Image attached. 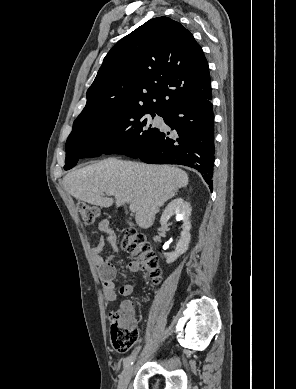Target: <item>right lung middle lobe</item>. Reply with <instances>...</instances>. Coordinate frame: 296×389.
Segmentation results:
<instances>
[{
  "label": "right lung middle lobe",
  "mask_w": 296,
  "mask_h": 389,
  "mask_svg": "<svg viewBox=\"0 0 296 389\" xmlns=\"http://www.w3.org/2000/svg\"><path fill=\"white\" fill-rule=\"evenodd\" d=\"M147 114H163L136 107L101 110L79 117L66 141L64 169L76 165L78 159L105 154L132 156L144 150L158 131L147 119Z\"/></svg>",
  "instance_id": "dd1d6c3e"
}]
</instances>
